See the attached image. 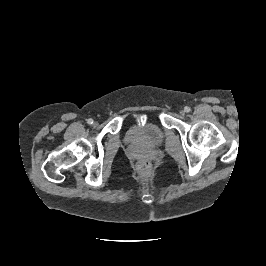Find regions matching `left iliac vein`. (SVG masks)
Returning a JSON list of instances; mask_svg holds the SVG:
<instances>
[{
	"label": "left iliac vein",
	"mask_w": 266,
	"mask_h": 266,
	"mask_svg": "<svg viewBox=\"0 0 266 266\" xmlns=\"http://www.w3.org/2000/svg\"><path fill=\"white\" fill-rule=\"evenodd\" d=\"M179 114H180V116H184V115H185V111H184V110H181V111L179 112Z\"/></svg>",
	"instance_id": "1"
}]
</instances>
